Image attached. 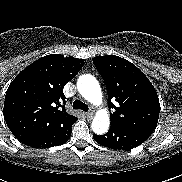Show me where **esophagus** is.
Here are the masks:
<instances>
[{
	"instance_id": "34e87169",
	"label": "esophagus",
	"mask_w": 182,
	"mask_h": 182,
	"mask_svg": "<svg viewBox=\"0 0 182 182\" xmlns=\"http://www.w3.org/2000/svg\"><path fill=\"white\" fill-rule=\"evenodd\" d=\"M85 115H86L88 118H92V117L94 116V112H93V111L87 112Z\"/></svg>"
}]
</instances>
